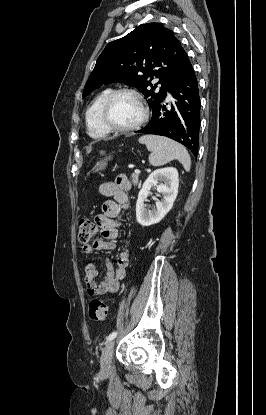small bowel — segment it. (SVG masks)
<instances>
[{"instance_id":"c3829d8e","label":"small bowel","mask_w":266,"mask_h":415,"mask_svg":"<svg viewBox=\"0 0 266 415\" xmlns=\"http://www.w3.org/2000/svg\"><path fill=\"white\" fill-rule=\"evenodd\" d=\"M131 184L126 175H118L114 181L102 183L98 192L105 197H111L103 203L102 213L95 217L96 224L101 230L102 238L96 239L92 244H85L83 252L91 254L94 250H114V240L119 236L121 222L118 217L123 209L128 207V193ZM129 263V254L122 251L117 258V266L107 259L105 260L106 274L101 282H96L98 270L93 262H87L84 266V282L88 295H103L114 293L119 289V283L126 275V267Z\"/></svg>"}]
</instances>
